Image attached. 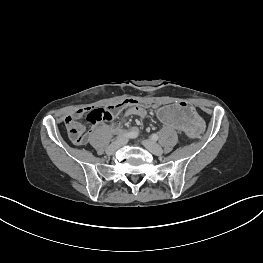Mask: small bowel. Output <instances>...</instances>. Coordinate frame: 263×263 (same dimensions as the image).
Wrapping results in <instances>:
<instances>
[{
    "instance_id": "obj_1",
    "label": "small bowel",
    "mask_w": 263,
    "mask_h": 263,
    "mask_svg": "<svg viewBox=\"0 0 263 263\" xmlns=\"http://www.w3.org/2000/svg\"><path fill=\"white\" fill-rule=\"evenodd\" d=\"M91 108H82V109H79L77 110L75 113H74V116L76 118H80L82 117L86 112H88ZM125 109V113L126 115H132V116H138V117H145L146 114H147V110L139 105V104H128V105H125V106H122L120 107L115 115L113 116L116 117L118 116L123 110ZM108 122V121H107Z\"/></svg>"
}]
</instances>
